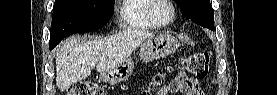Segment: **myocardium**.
Returning a JSON list of instances; mask_svg holds the SVG:
<instances>
[{
    "label": "myocardium",
    "instance_id": "f54148a6",
    "mask_svg": "<svg viewBox=\"0 0 277 95\" xmlns=\"http://www.w3.org/2000/svg\"><path fill=\"white\" fill-rule=\"evenodd\" d=\"M159 3L165 4L170 8V14L165 21H159L153 14V8ZM147 15L151 22H153L156 26L166 27L174 20L175 8L172 4V1L170 0H153L152 4L149 6L147 10Z\"/></svg>",
    "mask_w": 277,
    "mask_h": 95
}]
</instances>
